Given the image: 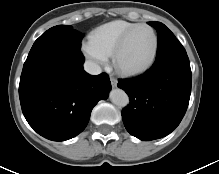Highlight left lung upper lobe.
<instances>
[{
	"label": "left lung upper lobe",
	"instance_id": "obj_1",
	"mask_svg": "<svg viewBox=\"0 0 219 174\" xmlns=\"http://www.w3.org/2000/svg\"><path fill=\"white\" fill-rule=\"evenodd\" d=\"M158 33L156 59L170 53H186L174 34L161 22H148Z\"/></svg>",
	"mask_w": 219,
	"mask_h": 174
}]
</instances>
